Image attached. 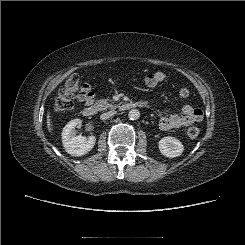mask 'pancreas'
<instances>
[{"label":"pancreas","mask_w":245,"mask_h":245,"mask_svg":"<svg viewBox=\"0 0 245 245\" xmlns=\"http://www.w3.org/2000/svg\"><path fill=\"white\" fill-rule=\"evenodd\" d=\"M96 106L99 110H106V109H116L117 105H113L111 100L108 99H100L96 102Z\"/></svg>","instance_id":"1"}]
</instances>
